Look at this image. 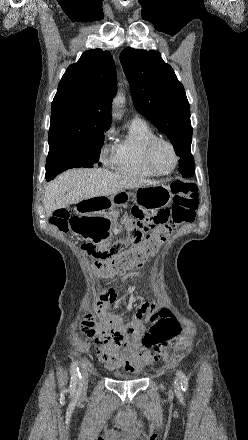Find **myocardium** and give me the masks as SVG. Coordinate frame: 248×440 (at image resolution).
Here are the masks:
<instances>
[{"mask_svg":"<svg viewBox=\"0 0 248 440\" xmlns=\"http://www.w3.org/2000/svg\"><path fill=\"white\" fill-rule=\"evenodd\" d=\"M160 144L167 145L171 149V151L173 153L174 164H173L172 168L169 171H165V172L160 171V170H158L155 167V165L153 163V153H154V150ZM143 161H144V164L147 167V169L150 172H152L154 175L166 176V175L172 174L176 170V168H177V166L179 164V154L177 152V149H176L175 145L171 141H169L167 139H164V138L156 137V138L152 139L151 141H149L147 143V145L145 146L144 152H143Z\"/></svg>","mask_w":248,"mask_h":440,"instance_id":"f54148a6","label":"myocardium"}]
</instances>
